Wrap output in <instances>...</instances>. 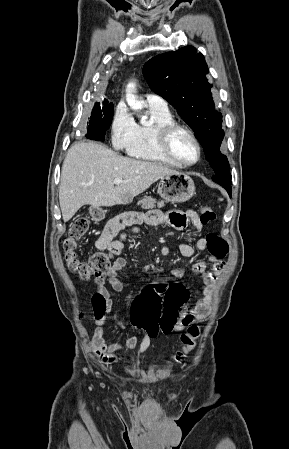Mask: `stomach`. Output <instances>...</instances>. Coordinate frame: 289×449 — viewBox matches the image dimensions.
I'll return each mask as SVG.
<instances>
[{"instance_id": "obj_1", "label": "stomach", "mask_w": 289, "mask_h": 449, "mask_svg": "<svg viewBox=\"0 0 289 449\" xmlns=\"http://www.w3.org/2000/svg\"><path fill=\"white\" fill-rule=\"evenodd\" d=\"M195 193L194 181L185 173L167 175L158 183V194L168 202L183 203Z\"/></svg>"}]
</instances>
